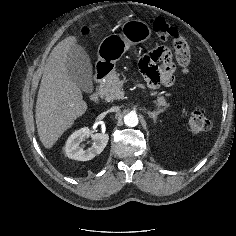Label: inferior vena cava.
<instances>
[{
    "label": "inferior vena cava",
    "mask_w": 236,
    "mask_h": 236,
    "mask_svg": "<svg viewBox=\"0 0 236 236\" xmlns=\"http://www.w3.org/2000/svg\"><path fill=\"white\" fill-rule=\"evenodd\" d=\"M119 110V106H114L109 109L110 112H117Z\"/></svg>",
    "instance_id": "inferior-vena-cava-1"
}]
</instances>
